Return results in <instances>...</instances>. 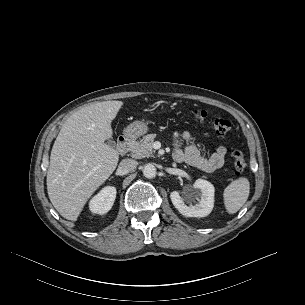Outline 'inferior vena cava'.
<instances>
[{"label": "inferior vena cava", "instance_id": "1", "mask_svg": "<svg viewBox=\"0 0 305 305\" xmlns=\"http://www.w3.org/2000/svg\"><path fill=\"white\" fill-rule=\"evenodd\" d=\"M138 165V162L134 159H124L119 164V171L122 174H127L133 171Z\"/></svg>", "mask_w": 305, "mask_h": 305}]
</instances>
